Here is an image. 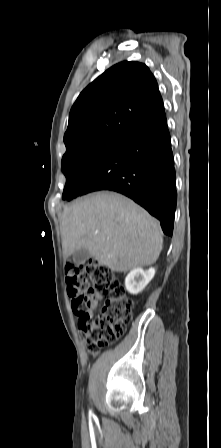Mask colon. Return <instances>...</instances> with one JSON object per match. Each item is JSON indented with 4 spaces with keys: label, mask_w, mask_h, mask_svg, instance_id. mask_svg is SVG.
Segmentation results:
<instances>
[{
    "label": "colon",
    "mask_w": 221,
    "mask_h": 448,
    "mask_svg": "<svg viewBox=\"0 0 221 448\" xmlns=\"http://www.w3.org/2000/svg\"><path fill=\"white\" fill-rule=\"evenodd\" d=\"M66 281L72 312L79 317V333L89 351L97 354L124 334L132 318V302L114 273L97 261L69 264ZM102 298L101 312L93 318L92 306Z\"/></svg>",
    "instance_id": "colon-1"
}]
</instances>
